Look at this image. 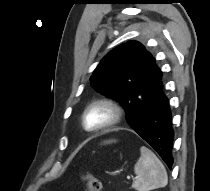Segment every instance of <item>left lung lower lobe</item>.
Wrapping results in <instances>:
<instances>
[{"label": "left lung lower lobe", "mask_w": 210, "mask_h": 191, "mask_svg": "<svg viewBox=\"0 0 210 191\" xmlns=\"http://www.w3.org/2000/svg\"><path fill=\"white\" fill-rule=\"evenodd\" d=\"M128 123L137 134L157 151L171 169L174 132L169 101L165 95L161 72L157 76L152 90L138 103L136 117Z\"/></svg>", "instance_id": "obj_1"}]
</instances>
